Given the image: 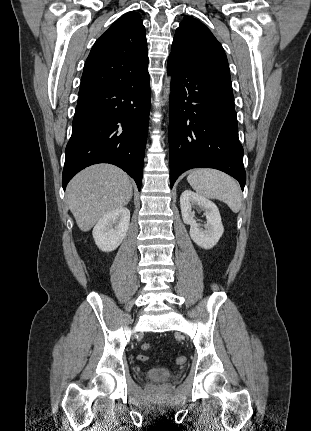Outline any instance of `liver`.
<instances>
[{
	"instance_id": "1",
	"label": "liver",
	"mask_w": 311,
	"mask_h": 431,
	"mask_svg": "<svg viewBox=\"0 0 311 431\" xmlns=\"http://www.w3.org/2000/svg\"><path fill=\"white\" fill-rule=\"evenodd\" d=\"M132 194L129 176L111 164L90 166L67 186L68 206L82 231H89L108 212L127 206Z\"/></svg>"
}]
</instances>
